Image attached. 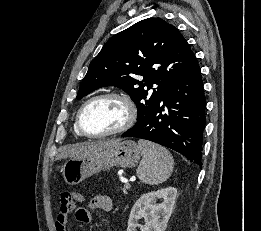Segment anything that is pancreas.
<instances>
[{"label": "pancreas", "instance_id": "obj_1", "mask_svg": "<svg viewBox=\"0 0 261 231\" xmlns=\"http://www.w3.org/2000/svg\"><path fill=\"white\" fill-rule=\"evenodd\" d=\"M129 189H130V186H126V185H124V187L121 188V190H122V192H123L124 194H127V190H129Z\"/></svg>", "mask_w": 261, "mask_h": 231}]
</instances>
